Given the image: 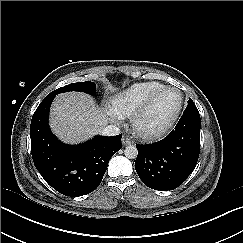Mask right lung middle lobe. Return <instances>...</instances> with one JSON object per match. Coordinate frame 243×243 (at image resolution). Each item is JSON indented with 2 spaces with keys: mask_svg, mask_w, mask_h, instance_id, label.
I'll use <instances>...</instances> for the list:
<instances>
[{
  "mask_svg": "<svg viewBox=\"0 0 243 243\" xmlns=\"http://www.w3.org/2000/svg\"><path fill=\"white\" fill-rule=\"evenodd\" d=\"M68 91H78V92H85L92 95H95L96 86L94 82L86 81V82H79V83H72L66 85L64 87L58 88L51 92L50 94L57 95L59 93H64Z\"/></svg>",
  "mask_w": 243,
  "mask_h": 243,
  "instance_id": "obj_1",
  "label": "right lung middle lobe"
}]
</instances>
